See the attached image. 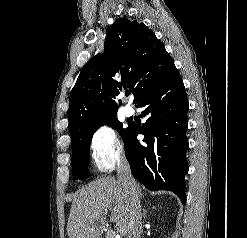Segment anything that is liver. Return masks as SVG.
Instances as JSON below:
<instances>
[{
	"mask_svg": "<svg viewBox=\"0 0 247 238\" xmlns=\"http://www.w3.org/2000/svg\"><path fill=\"white\" fill-rule=\"evenodd\" d=\"M140 191V186L137 185L138 194ZM108 211H112L110 220L116 223L117 231L126 235L129 195L114 177L96 179L76 193L68 218V237L101 238Z\"/></svg>",
	"mask_w": 247,
	"mask_h": 238,
	"instance_id": "liver-1",
	"label": "liver"
}]
</instances>
